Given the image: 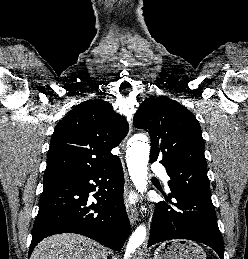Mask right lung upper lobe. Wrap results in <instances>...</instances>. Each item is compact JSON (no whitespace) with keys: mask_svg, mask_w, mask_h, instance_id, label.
I'll return each mask as SVG.
<instances>
[{"mask_svg":"<svg viewBox=\"0 0 248 259\" xmlns=\"http://www.w3.org/2000/svg\"><path fill=\"white\" fill-rule=\"evenodd\" d=\"M128 123L103 100H87L60 120L51 137L43 181L80 175L110 164Z\"/></svg>","mask_w":248,"mask_h":259,"instance_id":"1","label":"right lung upper lobe"}]
</instances>
